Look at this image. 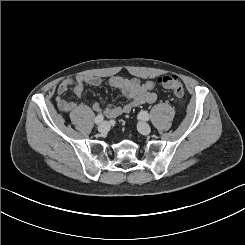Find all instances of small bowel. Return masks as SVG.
Segmentation results:
<instances>
[{
    "instance_id": "c3829d8e",
    "label": "small bowel",
    "mask_w": 245,
    "mask_h": 245,
    "mask_svg": "<svg viewBox=\"0 0 245 245\" xmlns=\"http://www.w3.org/2000/svg\"><path fill=\"white\" fill-rule=\"evenodd\" d=\"M102 80L94 75H81L75 78L63 80L57 89V105L58 108L69 114L71 121L78 127H82L87 116L91 110L101 111L108 118H116L122 114L129 113L133 108L143 105L151 104L157 100V93L155 92V82L141 81L138 79H129L121 76H113L109 78L108 82L111 87L118 90L128 101L122 105L95 104L92 109L84 104H78L66 98V95L71 92L78 97H81L84 86H99Z\"/></svg>"
}]
</instances>
